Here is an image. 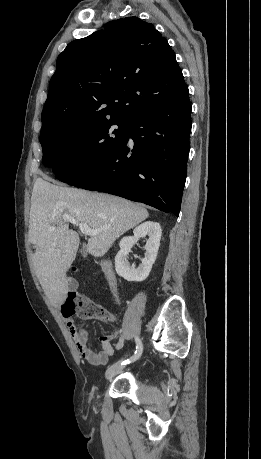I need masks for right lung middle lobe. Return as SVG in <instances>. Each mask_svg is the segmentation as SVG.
<instances>
[{
    "mask_svg": "<svg viewBox=\"0 0 261 459\" xmlns=\"http://www.w3.org/2000/svg\"><path fill=\"white\" fill-rule=\"evenodd\" d=\"M117 129H113V125ZM129 121L106 120L90 126H67L41 133L43 164L71 183L111 157L125 141Z\"/></svg>",
    "mask_w": 261,
    "mask_h": 459,
    "instance_id": "dd1d6c3e",
    "label": "right lung middle lobe"
}]
</instances>
